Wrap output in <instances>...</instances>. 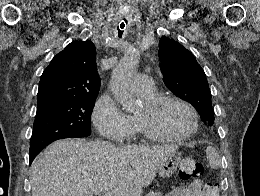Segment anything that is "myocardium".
I'll use <instances>...</instances> for the list:
<instances>
[{
	"label": "myocardium",
	"mask_w": 260,
	"mask_h": 196,
	"mask_svg": "<svg viewBox=\"0 0 260 196\" xmlns=\"http://www.w3.org/2000/svg\"><path fill=\"white\" fill-rule=\"evenodd\" d=\"M169 103H179L185 106L191 112L194 123L192 128L188 132L180 136L165 135L160 131L152 128L145 120H143L138 115L135 116L137 120V125L145 135H147L148 137L156 141L173 142V143L187 142L198 131L200 127V117L198 111L192 104L182 99L181 97L169 95V96H158L148 102H145L144 105L148 113L154 114ZM95 192H99V191L96 190Z\"/></svg>",
	"instance_id": "obj_1"
}]
</instances>
